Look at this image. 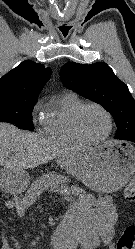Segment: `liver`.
I'll use <instances>...</instances> for the list:
<instances>
[{"label": "liver", "instance_id": "liver-1", "mask_svg": "<svg viewBox=\"0 0 135 249\" xmlns=\"http://www.w3.org/2000/svg\"><path fill=\"white\" fill-rule=\"evenodd\" d=\"M81 149L22 131L8 123H0V165L6 170L33 169Z\"/></svg>", "mask_w": 135, "mask_h": 249}]
</instances>
